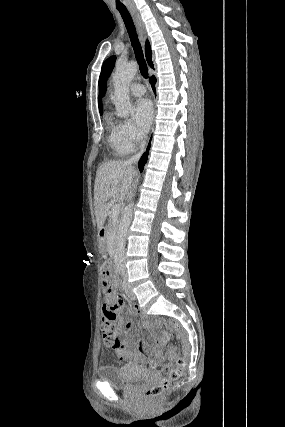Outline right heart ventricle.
<instances>
[{
  "instance_id": "right-heart-ventricle-1",
  "label": "right heart ventricle",
  "mask_w": 285,
  "mask_h": 427,
  "mask_svg": "<svg viewBox=\"0 0 285 427\" xmlns=\"http://www.w3.org/2000/svg\"><path fill=\"white\" fill-rule=\"evenodd\" d=\"M107 124L109 128V143L112 149L114 150V152L118 156H124L128 154L129 152L124 149V147L121 145V142L119 140L118 125H116L110 119H108Z\"/></svg>"
}]
</instances>
